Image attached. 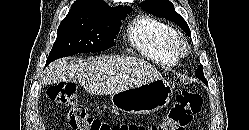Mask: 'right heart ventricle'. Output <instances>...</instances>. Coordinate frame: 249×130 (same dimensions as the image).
I'll return each instance as SVG.
<instances>
[{"mask_svg":"<svg viewBox=\"0 0 249 130\" xmlns=\"http://www.w3.org/2000/svg\"><path fill=\"white\" fill-rule=\"evenodd\" d=\"M177 32L170 25L150 16L137 17L128 29V41L143 56L164 65L178 62L172 46Z\"/></svg>","mask_w":249,"mask_h":130,"instance_id":"1","label":"right heart ventricle"}]
</instances>
